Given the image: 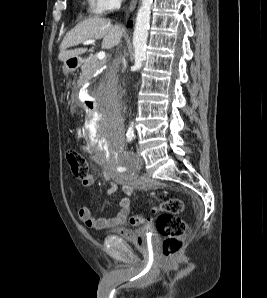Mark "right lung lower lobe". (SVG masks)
I'll list each match as a JSON object with an SVG mask.
<instances>
[{
	"label": "right lung lower lobe",
	"instance_id": "1",
	"mask_svg": "<svg viewBox=\"0 0 267 298\" xmlns=\"http://www.w3.org/2000/svg\"><path fill=\"white\" fill-rule=\"evenodd\" d=\"M128 26L132 27V22L131 21L128 22Z\"/></svg>",
	"mask_w": 267,
	"mask_h": 298
}]
</instances>
